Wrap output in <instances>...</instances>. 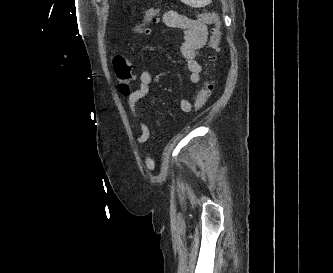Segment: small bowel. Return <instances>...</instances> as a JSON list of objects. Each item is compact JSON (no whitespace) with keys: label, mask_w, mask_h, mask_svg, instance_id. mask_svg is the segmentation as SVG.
Listing matches in <instances>:
<instances>
[{"label":"small bowel","mask_w":333,"mask_h":273,"mask_svg":"<svg viewBox=\"0 0 333 273\" xmlns=\"http://www.w3.org/2000/svg\"><path fill=\"white\" fill-rule=\"evenodd\" d=\"M159 15L161 21L166 26L183 31L179 40L180 52L186 62L190 81L192 83H198L201 79L202 66L197 60V57L199 51L205 46L208 39L206 24L173 10H160ZM152 81V72L148 69L141 70L138 89L130 92L126 96L130 114L140 130V135L137 138L139 145H143L148 140L150 131L138 112L137 103L150 92V84ZM193 107L194 103L189 98H182L179 101V108L183 112H190ZM143 158L146 168L150 170L153 169L154 161L150 155L145 153Z\"/></svg>","instance_id":"1"}]
</instances>
